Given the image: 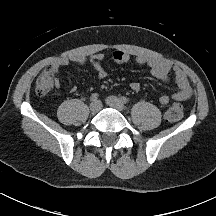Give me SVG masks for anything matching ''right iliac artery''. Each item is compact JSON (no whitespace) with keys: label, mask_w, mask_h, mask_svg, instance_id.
Returning <instances> with one entry per match:
<instances>
[{"label":"right iliac artery","mask_w":216,"mask_h":216,"mask_svg":"<svg viewBox=\"0 0 216 216\" xmlns=\"http://www.w3.org/2000/svg\"><path fill=\"white\" fill-rule=\"evenodd\" d=\"M98 96H99V95H98L97 93L92 94V96H91V101H97Z\"/></svg>","instance_id":"82829eb1"}]
</instances>
